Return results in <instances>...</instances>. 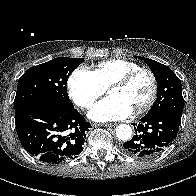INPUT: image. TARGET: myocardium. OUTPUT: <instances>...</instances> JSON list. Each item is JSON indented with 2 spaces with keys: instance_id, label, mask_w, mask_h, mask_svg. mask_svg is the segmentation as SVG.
<instances>
[{
  "instance_id": "1",
  "label": "myocardium",
  "mask_w": 196,
  "mask_h": 196,
  "mask_svg": "<svg viewBox=\"0 0 196 196\" xmlns=\"http://www.w3.org/2000/svg\"><path fill=\"white\" fill-rule=\"evenodd\" d=\"M141 74H147L149 76V78L151 80V93H150V96L147 99V101L144 104H142L141 106H139L138 108L135 109L136 113L146 112L147 110H149L153 106V104L155 103V101L157 99L158 79H157V76L155 75V73L151 69L143 68V67L135 69V70L121 76L120 78L116 79L108 87V92H109V90L111 88L127 86L136 77H138Z\"/></svg>"
}]
</instances>
